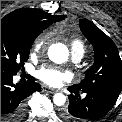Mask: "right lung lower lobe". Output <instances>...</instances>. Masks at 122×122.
<instances>
[{"label":"right lung lower lobe","instance_id":"right-lung-lower-lobe-1","mask_svg":"<svg viewBox=\"0 0 122 122\" xmlns=\"http://www.w3.org/2000/svg\"><path fill=\"white\" fill-rule=\"evenodd\" d=\"M13 76L1 71V122H21L26 114V98L41 90L34 78L24 84H13Z\"/></svg>","mask_w":122,"mask_h":122}]
</instances>
